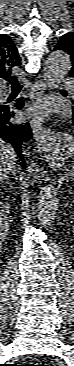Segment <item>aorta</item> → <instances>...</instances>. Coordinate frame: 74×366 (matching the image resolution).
<instances>
[{"instance_id": "obj_1", "label": "aorta", "mask_w": 74, "mask_h": 366, "mask_svg": "<svg viewBox=\"0 0 74 366\" xmlns=\"http://www.w3.org/2000/svg\"><path fill=\"white\" fill-rule=\"evenodd\" d=\"M71 68V57L63 51L57 50L49 54L45 61V80L49 89L60 86ZM38 221L42 227H50L57 216L58 198L54 184L46 183L40 188L38 195Z\"/></svg>"}]
</instances>
